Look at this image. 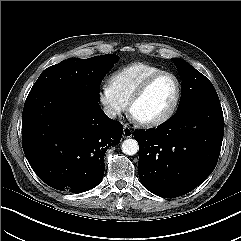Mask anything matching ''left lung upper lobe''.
<instances>
[{
    "label": "left lung upper lobe",
    "instance_id": "left-lung-upper-lobe-1",
    "mask_svg": "<svg viewBox=\"0 0 241 241\" xmlns=\"http://www.w3.org/2000/svg\"><path fill=\"white\" fill-rule=\"evenodd\" d=\"M182 77V94L177 111L193 105L210 104L220 106L212 83L199 71L182 59H172Z\"/></svg>",
    "mask_w": 241,
    "mask_h": 241
}]
</instances>
